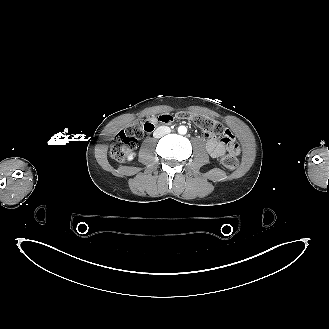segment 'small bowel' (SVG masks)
Returning <instances> with one entry per match:
<instances>
[{
    "label": "small bowel",
    "instance_id": "small-bowel-1",
    "mask_svg": "<svg viewBox=\"0 0 329 329\" xmlns=\"http://www.w3.org/2000/svg\"><path fill=\"white\" fill-rule=\"evenodd\" d=\"M156 121L158 123H163V122H169V123H174L176 121V116L174 114L171 113H161L158 114L156 116ZM207 151L209 153V155L213 158H217V159H223L226 154H234L237 155L238 154V147L236 148H230L224 146L222 143H219L216 139L207 137Z\"/></svg>",
    "mask_w": 329,
    "mask_h": 329
}]
</instances>
